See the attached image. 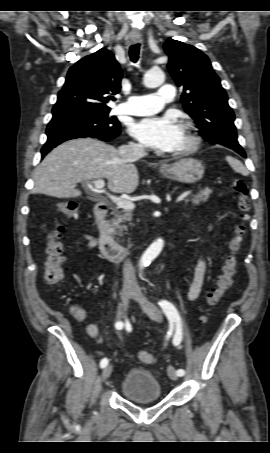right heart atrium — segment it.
I'll list each match as a JSON object with an SVG mask.
<instances>
[{"instance_id":"d8ad5b80","label":"right heart atrium","mask_w":270,"mask_h":453,"mask_svg":"<svg viewBox=\"0 0 270 453\" xmlns=\"http://www.w3.org/2000/svg\"><path fill=\"white\" fill-rule=\"evenodd\" d=\"M130 145L132 147H134V148H137V149L141 148V146L139 144H136V143H131Z\"/></svg>"}]
</instances>
